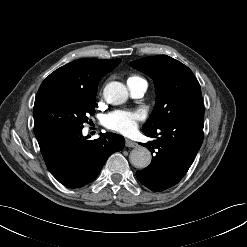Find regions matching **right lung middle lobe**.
<instances>
[{
  "instance_id": "1",
  "label": "right lung middle lobe",
  "mask_w": 247,
  "mask_h": 247,
  "mask_svg": "<svg viewBox=\"0 0 247 247\" xmlns=\"http://www.w3.org/2000/svg\"><path fill=\"white\" fill-rule=\"evenodd\" d=\"M96 95L52 91L36 96L34 129L42 127L81 130L95 114Z\"/></svg>"
}]
</instances>
